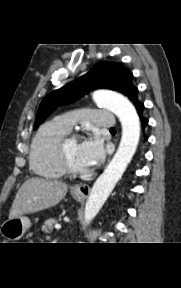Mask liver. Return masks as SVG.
Wrapping results in <instances>:
<instances>
[{"instance_id": "liver-1", "label": "liver", "mask_w": 181, "mask_h": 288, "mask_svg": "<svg viewBox=\"0 0 181 288\" xmlns=\"http://www.w3.org/2000/svg\"><path fill=\"white\" fill-rule=\"evenodd\" d=\"M67 190L68 185L57 180L29 178L19 188L9 218L56 206L65 197Z\"/></svg>"}]
</instances>
